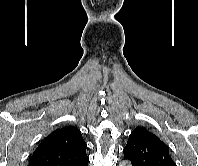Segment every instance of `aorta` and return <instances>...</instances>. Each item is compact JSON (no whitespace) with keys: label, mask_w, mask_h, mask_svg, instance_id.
Instances as JSON below:
<instances>
[{"label":"aorta","mask_w":198,"mask_h":166,"mask_svg":"<svg viewBox=\"0 0 198 166\" xmlns=\"http://www.w3.org/2000/svg\"><path fill=\"white\" fill-rule=\"evenodd\" d=\"M119 166H132V165H131V162H130V161L124 160V161H122V162L119 164Z\"/></svg>","instance_id":"aorta-1"}]
</instances>
